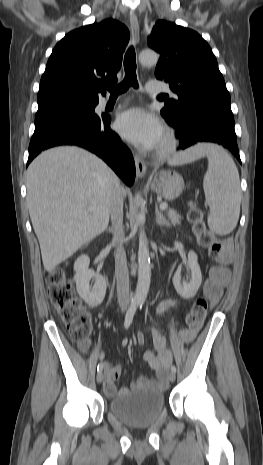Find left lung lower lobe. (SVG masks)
I'll list each match as a JSON object with an SVG mask.
<instances>
[{"label":"left lung lower lobe","mask_w":263,"mask_h":465,"mask_svg":"<svg viewBox=\"0 0 263 465\" xmlns=\"http://www.w3.org/2000/svg\"><path fill=\"white\" fill-rule=\"evenodd\" d=\"M165 120L177 131L179 149L199 142H213L229 149L241 162L230 108L204 104Z\"/></svg>","instance_id":"0a47b994"}]
</instances>
